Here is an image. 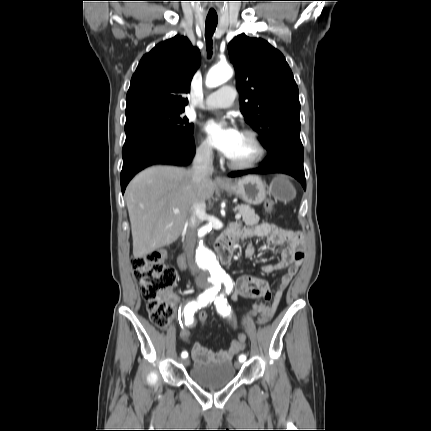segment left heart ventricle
<instances>
[{
    "instance_id": "obj_1",
    "label": "left heart ventricle",
    "mask_w": 431,
    "mask_h": 431,
    "mask_svg": "<svg viewBox=\"0 0 431 431\" xmlns=\"http://www.w3.org/2000/svg\"><path fill=\"white\" fill-rule=\"evenodd\" d=\"M255 154L256 148L251 139L241 134L235 149L228 158L236 162H242L253 158Z\"/></svg>"
}]
</instances>
